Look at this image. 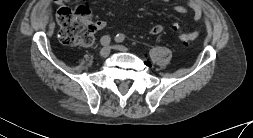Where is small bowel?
Returning a JSON list of instances; mask_svg holds the SVG:
<instances>
[{
	"instance_id": "small-bowel-1",
	"label": "small bowel",
	"mask_w": 253,
	"mask_h": 138,
	"mask_svg": "<svg viewBox=\"0 0 253 138\" xmlns=\"http://www.w3.org/2000/svg\"><path fill=\"white\" fill-rule=\"evenodd\" d=\"M161 2H168L169 0H160ZM55 4H69L71 0H53ZM189 9H192L194 12V19L197 21L202 17V10L198 4L193 1L187 2L186 5H175L174 10L181 14H186ZM96 31L104 30L107 26L106 22L98 20L94 22ZM175 26H179L178 24H174ZM164 31V26L162 24H154L150 27L149 33L152 35H159Z\"/></svg>"
}]
</instances>
